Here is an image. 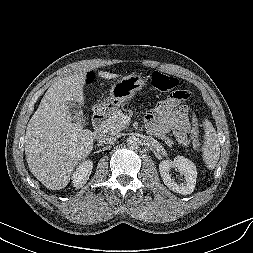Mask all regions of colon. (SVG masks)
<instances>
[{"label": "colon", "mask_w": 253, "mask_h": 253, "mask_svg": "<svg viewBox=\"0 0 253 253\" xmlns=\"http://www.w3.org/2000/svg\"><path fill=\"white\" fill-rule=\"evenodd\" d=\"M92 80V74L87 76V81ZM152 87L161 92H171V97L175 99H188L189 93L184 89H177L178 80L170 75H166L159 71H154L151 75ZM192 140L195 144H198V137L196 134L192 135Z\"/></svg>", "instance_id": "5ec220e1"}]
</instances>
